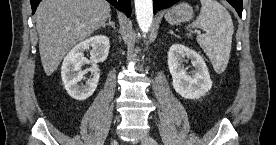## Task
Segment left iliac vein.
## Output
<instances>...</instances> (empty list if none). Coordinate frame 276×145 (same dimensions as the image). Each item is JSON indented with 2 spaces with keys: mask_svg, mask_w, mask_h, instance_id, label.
I'll return each instance as SVG.
<instances>
[{
  "mask_svg": "<svg viewBox=\"0 0 276 145\" xmlns=\"http://www.w3.org/2000/svg\"><path fill=\"white\" fill-rule=\"evenodd\" d=\"M142 144L143 145H158L157 141L154 138H152L151 136L144 137V139L142 140Z\"/></svg>",
  "mask_w": 276,
  "mask_h": 145,
  "instance_id": "left-iliac-vein-1",
  "label": "left iliac vein"
}]
</instances>
